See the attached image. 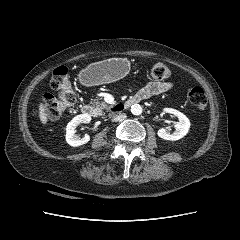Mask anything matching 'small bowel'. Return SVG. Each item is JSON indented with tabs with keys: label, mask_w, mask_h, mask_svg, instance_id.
I'll return each mask as SVG.
<instances>
[{
	"label": "small bowel",
	"mask_w": 240,
	"mask_h": 240,
	"mask_svg": "<svg viewBox=\"0 0 240 240\" xmlns=\"http://www.w3.org/2000/svg\"><path fill=\"white\" fill-rule=\"evenodd\" d=\"M172 88H173V84L171 82L152 81L146 84L143 88H141L137 94L141 95L143 99H147L149 97L168 92Z\"/></svg>",
	"instance_id": "c3829d8e"
}]
</instances>
